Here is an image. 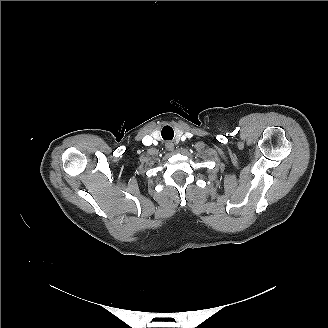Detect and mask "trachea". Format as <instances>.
<instances>
[{"label": "trachea", "instance_id": "trachea-1", "mask_svg": "<svg viewBox=\"0 0 328 328\" xmlns=\"http://www.w3.org/2000/svg\"><path fill=\"white\" fill-rule=\"evenodd\" d=\"M162 138L164 140H172L174 137V132L171 127L165 126L161 131Z\"/></svg>", "mask_w": 328, "mask_h": 328}]
</instances>
